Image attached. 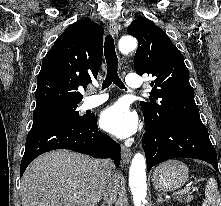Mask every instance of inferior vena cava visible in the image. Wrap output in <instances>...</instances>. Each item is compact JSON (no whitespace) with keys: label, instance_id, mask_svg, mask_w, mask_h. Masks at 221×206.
Wrapping results in <instances>:
<instances>
[{"label":"inferior vena cava","instance_id":"inferior-vena-cava-1","mask_svg":"<svg viewBox=\"0 0 221 206\" xmlns=\"http://www.w3.org/2000/svg\"><path fill=\"white\" fill-rule=\"evenodd\" d=\"M104 176L101 183V193L105 206H111L117 199L119 190V176L113 162L109 159L103 160Z\"/></svg>","mask_w":221,"mask_h":206}]
</instances>
